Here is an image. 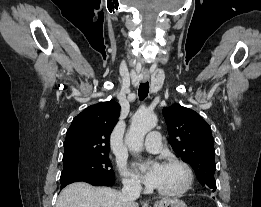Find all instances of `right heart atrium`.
I'll return each mask as SVG.
<instances>
[{"label": "right heart atrium", "mask_w": 261, "mask_h": 207, "mask_svg": "<svg viewBox=\"0 0 261 207\" xmlns=\"http://www.w3.org/2000/svg\"><path fill=\"white\" fill-rule=\"evenodd\" d=\"M121 175H122V181L125 188L130 190H138L140 189V181L138 178L130 173L125 166L120 167Z\"/></svg>", "instance_id": "obj_1"}]
</instances>
